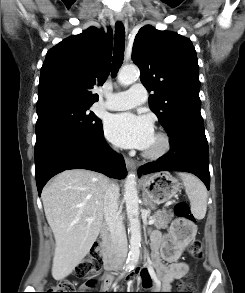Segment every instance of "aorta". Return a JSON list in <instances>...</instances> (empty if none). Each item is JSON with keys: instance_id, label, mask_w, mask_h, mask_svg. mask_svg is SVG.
<instances>
[{"instance_id": "obj_1", "label": "aorta", "mask_w": 245, "mask_h": 293, "mask_svg": "<svg viewBox=\"0 0 245 293\" xmlns=\"http://www.w3.org/2000/svg\"><path fill=\"white\" fill-rule=\"evenodd\" d=\"M138 78V69L136 66H127L122 68L118 74V81L121 85H130ZM124 199L126 202V212L129 219L130 230V251L128 254L127 265L134 267L140 255L141 246V226L139 220V199L136 187L135 174H128L125 181Z\"/></svg>"}]
</instances>
